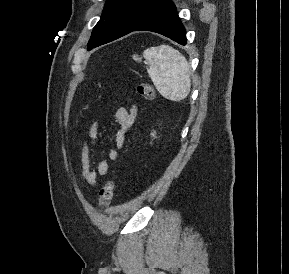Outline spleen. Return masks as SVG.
<instances>
[{
    "label": "spleen",
    "mask_w": 289,
    "mask_h": 274,
    "mask_svg": "<svg viewBox=\"0 0 289 274\" xmlns=\"http://www.w3.org/2000/svg\"><path fill=\"white\" fill-rule=\"evenodd\" d=\"M143 57L149 65L148 75L163 97L180 101L188 96L191 88L190 65L178 50L160 45L146 49Z\"/></svg>",
    "instance_id": "spleen-1"
}]
</instances>
